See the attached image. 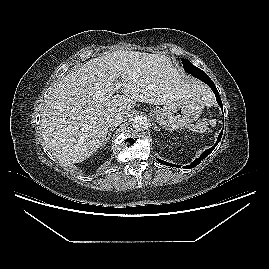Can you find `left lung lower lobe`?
Returning a JSON list of instances; mask_svg holds the SVG:
<instances>
[{"mask_svg": "<svg viewBox=\"0 0 269 269\" xmlns=\"http://www.w3.org/2000/svg\"><path fill=\"white\" fill-rule=\"evenodd\" d=\"M191 75H193L194 77L200 79L201 81H203L204 83H206L212 89V91L214 92V94L216 96V100H217L219 106L222 108V102H221L220 95H219V93H218V91L216 89L215 84L207 76V74L204 71H202V70H198V71L192 73ZM222 134H223V130L220 132L216 144L213 147H211L208 150H206L204 153H202L199 158H197L195 161H193L190 165L186 166L185 168H193V167L197 166L204 158H206L214 150V148L217 146V144L221 140ZM158 161L160 163L164 164V165H167V166L181 168L180 165L170 164V163H168L166 161H163V160H158Z\"/></svg>", "mask_w": 269, "mask_h": 269, "instance_id": "0a47b994", "label": "left lung lower lobe"}]
</instances>
